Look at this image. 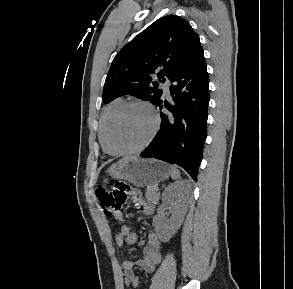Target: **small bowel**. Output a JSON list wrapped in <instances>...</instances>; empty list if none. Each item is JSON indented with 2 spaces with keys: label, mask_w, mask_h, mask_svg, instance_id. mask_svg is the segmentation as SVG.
Wrapping results in <instances>:
<instances>
[{
  "label": "small bowel",
  "mask_w": 293,
  "mask_h": 289,
  "mask_svg": "<svg viewBox=\"0 0 293 289\" xmlns=\"http://www.w3.org/2000/svg\"><path fill=\"white\" fill-rule=\"evenodd\" d=\"M140 205L139 209L144 215H152L154 213V207L149 204H145L142 200L138 199ZM115 220L124 222L123 213L119 210L113 214ZM115 242L118 246L124 244H135L137 242V234L128 224L123 223L119 232L115 237ZM161 242L156 233L151 232L148 235V241L143 247V257L138 259L135 263L144 271L152 272L155 267L161 262ZM134 263L129 260H124L121 265V276L124 284L129 287H137L139 280L133 270Z\"/></svg>",
  "instance_id": "obj_1"
}]
</instances>
